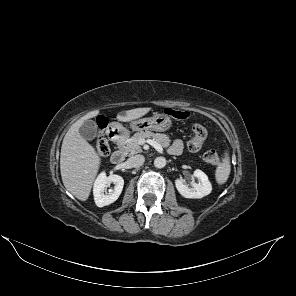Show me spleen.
<instances>
[{
  "instance_id": "spleen-1",
  "label": "spleen",
  "mask_w": 296,
  "mask_h": 296,
  "mask_svg": "<svg viewBox=\"0 0 296 296\" xmlns=\"http://www.w3.org/2000/svg\"><path fill=\"white\" fill-rule=\"evenodd\" d=\"M231 166H230V158L227 152L224 154V158L222 162L218 164L215 171V179L219 185L224 184L230 175Z\"/></svg>"
}]
</instances>
